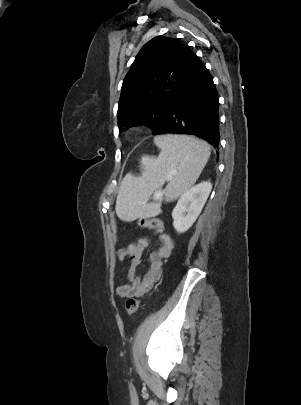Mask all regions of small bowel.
I'll use <instances>...</instances> for the list:
<instances>
[{
    "instance_id": "obj_1",
    "label": "small bowel",
    "mask_w": 301,
    "mask_h": 405,
    "mask_svg": "<svg viewBox=\"0 0 301 405\" xmlns=\"http://www.w3.org/2000/svg\"><path fill=\"white\" fill-rule=\"evenodd\" d=\"M158 237L160 247L149 254V269L142 277L137 274V269L142 262L145 250L149 246V240L145 237L139 238L135 243H131L119 251L118 256L120 260H129L130 262L126 283L116 291V295L119 298L142 297L160 279L162 261L171 255L174 243L172 238L166 233H160Z\"/></svg>"
}]
</instances>
